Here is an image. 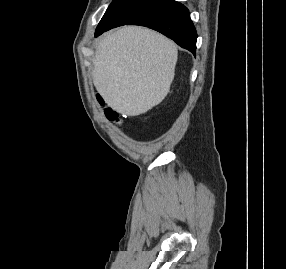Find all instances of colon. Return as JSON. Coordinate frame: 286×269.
Listing matches in <instances>:
<instances>
[{
	"instance_id": "1",
	"label": "colon",
	"mask_w": 286,
	"mask_h": 269,
	"mask_svg": "<svg viewBox=\"0 0 286 269\" xmlns=\"http://www.w3.org/2000/svg\"><path fill=\"white\" fill-rule=\"evenodd\" d=\"M106 116L111 120L115 122H119L118 115L115 111L112 109H107L106 110Z\"/></svg>"
}]
</instances>
